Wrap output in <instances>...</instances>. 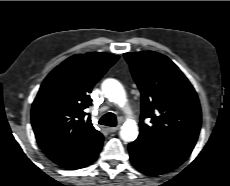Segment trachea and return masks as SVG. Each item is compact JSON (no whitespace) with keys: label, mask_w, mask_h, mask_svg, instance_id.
<instances>
[{"label":"trachea","mask_w":230,"mask_h":186,"mask_svg":"<svg viewBox=\"0 0 230 186\" xmlns=\"http://www.w3.org/2000/svg\"><path fill=\"white\" fill-rule=\"evenodd\" d=\"M99 124L101 125H106V126H116L117 124V119L114 113H107L102 116V118L99 121Z\"/></svg>","instance_id":"1"}]
</instances>
